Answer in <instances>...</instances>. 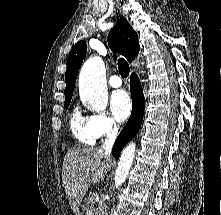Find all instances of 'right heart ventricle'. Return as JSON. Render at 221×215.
I'll list each match as a JSON object with an SVG mask.
<instances>
[{
    "mask_svg": "<svg viewBox=\"0 0 221 215\" xmlns=\"http://www.w3.org/2000/svg\"><path fill=\"white\" fill-rule=\"evenodd\" d=\"M70 126L73 135L79 142L85 145H93L95 143L96 138L89 129L88 120L81 115L77 108L72 112Z\"/></svg>",
    "mask_w": 221,
    "mask_h": 215,
    "instance_id": "1",
    "label": "right heart ventricle"
}]
</instances>
